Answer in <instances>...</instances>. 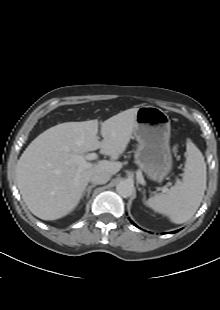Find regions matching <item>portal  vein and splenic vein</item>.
<instances>
[{"mask_svg": "<svg viewBox=\"0 0 220 310\" xmlns=\"http://www.w3.org/2000/svg\"><path fill=\"white\" fill-rule=\"evenodd\" d=\"M98 158V155L96 153H89L85 156H77L75 158V162H77L78 164H80L83 167H87L88 165H90V163H87V160H95ZM167 188H164L163 191H166Z\"/></svg>", "mask_w": 220, "mask_h": 310, "instance_id": "obj_1", "label": "portal vein and splenic vein"}]
</instances>
